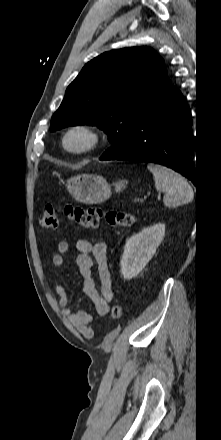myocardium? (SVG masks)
<instances>
[{
	"mask_svg": "<svg viewBox=\"0 0 221 440\" xmlns=\"http://www.w3.org/2000/svg\"><path fill=\"white\" fill-rule=\"evenodd\" d=\"M102 142L98 128L89 123H73L61 133L60 145L69 155H85L96 150Z\"/></svg>",
	"mask_w": 221,
	"mask_h": 440,
	"instance_id": "myocardium-1",
	"label": "myocardium"
}]
</instances>
